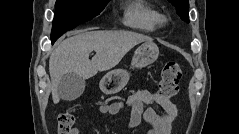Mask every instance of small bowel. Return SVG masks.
<instances>
[{
  "label": "small bowel",
  "mask_w": 239,
  "mask_h": 134,
  "mask_svg": "<svg viewBox=\"0 0 239 134\" xmlns=\"http://www.w3.org/2000/svg\"><path fill=\"white\" fill-rule=\"evenodd\" d=\"M125 108L129 112V127H138L144 119L150 125L148 134H170L178 115L177 107L172 101L163 98L158 92L145 89L130 95L126 103H104L99 110L104 115H115ZM71 134H81V130L73 128Z\"/></svg>",
  "instance_id": "c3829d8e"
}]
</instances>
